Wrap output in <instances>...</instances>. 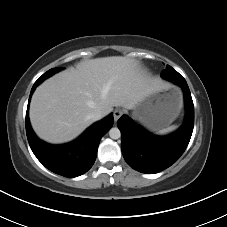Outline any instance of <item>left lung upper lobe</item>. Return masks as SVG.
Wrapping results in <instances>:
<instances>
[{
  "mask_svg": "<svg viewBox=\"0 0 227 227\" xmlns=\"http://www.w3.org/2000/svg\"><path fill=\"white\" fill-rule=\"evenodd\" d=\"M161 76L169 81H173V78L185 80L176 70L167 65V68L161 73Z\"/></svg>",
  "mask_w": 227,
  "mask_h": 227,
  "instance_id": "left-lung-upper-lobe-1",
  "label": "left lung upper lobe"
}]
</instances>
